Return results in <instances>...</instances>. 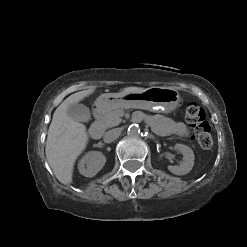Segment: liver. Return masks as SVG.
Returning <instances> with one entry per match:
<instances>
[{
    "mask_svg": "<svg viewBox=\"0 0 247 247\" xmlns=\"http://www.w3.org/2000/svg\"><path fill=\"white\" fill-rule=\"evenodd\" d=\"M145 90L141 87H126L116 94L123 96ZM93 92L94 89L83 90L66 98L55 110L49 126L45 148L46 158L58 181L65 185L72 183L75 161L85 150L89 140L86 126L70 118L67 108Z\"/></svg>",
    "mask_w": 247,
    "mask_h": 247,
    "instance_id": "6515ba94",
    "label": "liver"
}]
</instances>
